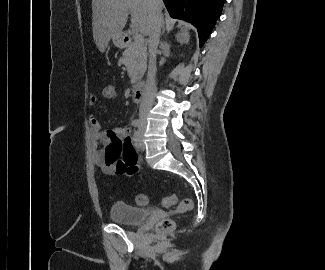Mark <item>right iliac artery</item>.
Masks as SVG:
<instances>
[{
    "label": "right iliac artery",
    "mask_w": 325,
    "mask_h": 270,
    "mask_svg": "<svg viewBox=\"0 0 325 270\" xmlns=\"http://www.w3.org/2000/svg\"><path fill=\"white\" fill-rule=\"evenodd\" d=\"M140 124H141V121L139 119H135L132 121V125L134 127H138V126H140Z\"/></svg>",
    "instance_id": "obj_1"
}]
</instances>
